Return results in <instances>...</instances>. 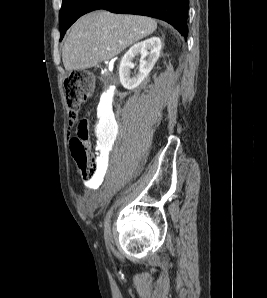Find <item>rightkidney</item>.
<instances>
[{"mask_svg":"<svg viewBox=\"0 0 267 298\" xmlns=\"http://www.w3.org/2000/svg\"><path fill=\"white\" fill-rule=\"evenodd\" d=\"M162 42L159 37H151L134 44L123 56L119 66V77L122 86L133 90L148 76L159 58ZM141 55L139 72L130 77L131 69L134 68L133 59ZM147 57V59H145Z\"/></svg>","mask_w":267,"mask_h":298,"instance_id":"ca27d5eb","label":"right kidney"}]
</instances>
